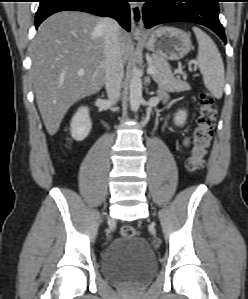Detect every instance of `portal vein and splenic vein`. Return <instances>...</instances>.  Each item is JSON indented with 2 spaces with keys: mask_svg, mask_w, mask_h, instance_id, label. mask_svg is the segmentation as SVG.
Here are the masks:
<instances>
[{
  "mask_svg": "<svg viewBox=\"0 0 248 299\" xmlns=\"http://www.w3.org/2000/svg\"><path fill=\"white\" fill-rule=\"evenodd\" d=\"M155 71H156V69H155L153 66H149V68H148V70H147V72H148L149 74H153V73H155ZM79 74L82 75V74H83V71H80Z\"/></svg>",
  "mask_w": 248,
  "mask_h": 299,
  "instance_id": "obj_1",
  "label": "portal vein and splenic vein"
}]
</instances>
